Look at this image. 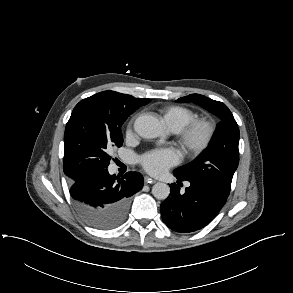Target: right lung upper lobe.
<instances>
[{
  "label": "right lung upper lobe",
  "instance_id": "right-lung-upper-lobe-1",
  "mask_svg": "<svg viewBox=\"0 0 293 293\" xmlns=\"http://www.w3.org/2000/svg\"><path fill=\"white\" fill-rule=\"evenodd\" d=\"M102 96H106L110 98L113 101L123 103L126 105H130L133 107H140L145 104H147V99H142V98H134L133 96L127 95V94H122L114 91H104L99 93ZM137 108V109H138Z\"/></svg>",
  "mask_w": 293,
  "mask_h": 293
}]
</instances>
